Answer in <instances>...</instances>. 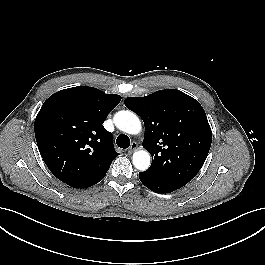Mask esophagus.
I'll return each mask as SVG.
<instances>
[{"label":"esophagus","instance_id":"1","mask_svg":"<svg viewBox=\"0 0 265 265\" xmlns=\"http://www.w3.org/2000/svg\"><path fill=\"white\" fill-rule=\"evenodd\" d=\"M137 148V143L132 142L130 148L127 150L128 154H131L133 151H135Z\"/></svg>","mask_w":265,"mask_h":265}]
</instances>
